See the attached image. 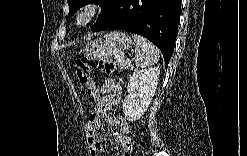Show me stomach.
Returning <instances> with one entry per match:
<instances>
[{
    "mask_svg": "<svg viewBox=\"0 0 247 156\" xmlns=\"http://www.w3.org/2000/svg\"><path fill=\"white\" fill-rule=\"evenodd\" d=\"M131 45L132 40L127 33L113 31L91 41L85 48V55L89 59L108 58Z\"/></svg>",
    "mask_w": 247,
    "mask_h": 156,
    "instance_id": "stomach-1",
    "label": "stomach"
}]
</instances>
